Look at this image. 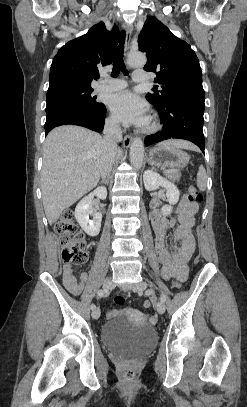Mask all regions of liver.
Returning a JSON list of instances; mask_svg holds the SVG:
<instances>
[{
    "label": "liver",
    "instance_id": "6515ba94",
    "mask_svg": "<svg viewBox=\"0 0 247 407\" xmlns=\"http://www.w3.org/2000/svg\"><path fill=\"white\" fill-rule=\"evenodd\" d=\"M166 143L178 148H195L185 140ZM104 150L103 138L83 127L63 125L48 134L43 148L41 191L50 225L97 185Z\"/></svg>",
    "mask_w": 247,
    "mask_h": 407
}]
</instances>
